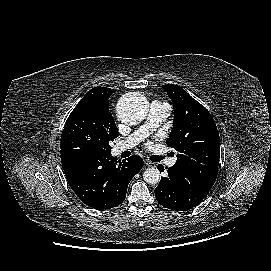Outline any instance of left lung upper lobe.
<instances>
[{
    "instance_id": "5c2ea615",
    "label": "left lung upper lobe",
    "mask_w": 271,
    "mask_h": 271,
    "mask_svg": "<svg viewBox=\"0 0 271 271\" xmlns=\"http://www.w3.org/2000/svg\"><path fill=\"white\" fill-rule=\"evenodd\" d=\"M162 88L174 106L173 128L166 143L178 152L175 165L213 185L220 156V139L213 117L181 87L168 84Z\"/></svg>"
}]
</instances>
